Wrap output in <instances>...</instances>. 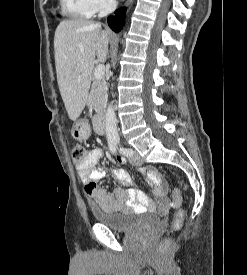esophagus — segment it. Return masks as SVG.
Wrapping results in <instances>:
<instances>
[{
    "label": "esophagus",
    "mask_w": 247,
    "mask_h": 275,
    "mask_svg": "<svg viewBox=\"0 0 247 275\" xmlns=\"http://www.w3.org/2000/svg\"><path fill=\"white\" fill-rule=\"evenodd\" d=\"M133 0H128L127 5L131 4Z\"/></svg>",
    "instance_id": "obj_1"
}]
</instances>
